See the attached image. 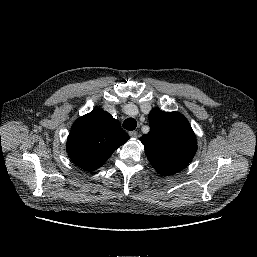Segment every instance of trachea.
Returning <instances> with one entry per match:
<instances>
[{
    "label": "trachea",
    "mask_w": 257,
    "mask_h": 257,
    "mask_svg": "<svg viewBox=\"0 0 257 257\" xmlns=\"http://www.w3.org/2000/svg\"><path fill=\"white\" fill-rule=\"evenodd\" d=\"M136 126H137V122L134 118H128L123 122V127L126 130H130V131L135 130Z\"/></svg>",
    "instance_id": "trachea-1"
}]
</instances>
